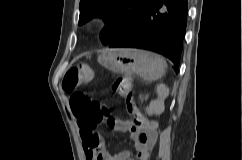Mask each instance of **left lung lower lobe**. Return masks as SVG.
Listing matches in <instances>:
<instances>
[{
	"instance_id": "0a47b994",
	"label": "left lung lower lobe",
	"mask_w": 242,
	"mask_h": 160,
	"mask_svg": "<svg viewBox=\"0 0 242 160\" xmlns=\"http://www.w3.org/2000/svg\"><path fill=\"white\" fill-rule=\"evenodd\" d=\"M187 13V0H149L132 27L109 47L157 52L169 58L178 71Z\"/></svg>"
}]
</instances>
